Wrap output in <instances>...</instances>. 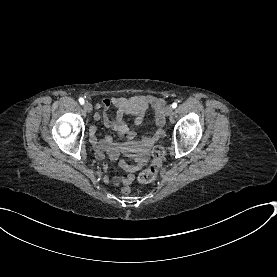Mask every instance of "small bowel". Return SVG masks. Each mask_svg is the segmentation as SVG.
Masks as SVG:
<instances>
[{"label":"small bowel","mask_w":277,"mask_h":277,"mask_svg":"<svg viewBox=\"0 0 277 277\" xmlns=\"http://www.w3.org/2000/svg\"><path fill=\"white\" fill-rule=\"evenodd\" d=\"M112 103L117 110L114 118H109L108 112L112 110V107L110 106ZM100 105L105 107L106 110L101 112V117L104 118L105 125L117 131L120 136L128 135L130 137H135L137 133L127 127L124 117L126 115H131L134 118V123L140 125L144 120L148 108H152L155 113L156 125L163 127L164 124L165 102L160 97L152 95L109 97L108 99H103L100 102ZM99 118L100 116L98 114L95 115V119L98 120ZM90 139L97 150L107 151L111 159H115L121 149L126 152L137 154L136 164L134 165L127 164L124 161L120 162V167L126 175L108 178L107 182L111 185H129L133 181L135 173L144 166L147 158V150L156 140L152 135H148L143 137L140 141L132 140L120 145L112 143L111 139L106 137L101 142L97 143L93 130L91 131Z\"/></svg>","instance_id":"obj_1"}]
</instances>
